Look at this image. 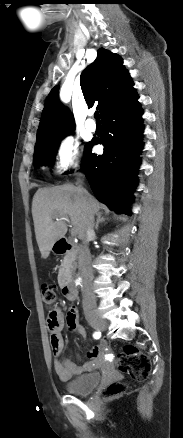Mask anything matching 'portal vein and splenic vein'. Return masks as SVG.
Here are the masks:
<instances>
[{"instance_id":"obj_1","label":"portal vein and splenic vein","mask_w":183,"mask_h":438,"mask_svg":"<svg viewBox=\"0 0 183 438\" xmlns=\"http://www.w3.org/2000/svg\"><path fill=\"white\" fill-rule=\"evenodd\" d=\"M56 220H66V221H68V219L66 217H58V216H56ZM71 233L74 235L75 234V230L72 229Z\"/></svg>"}]
</instances>
